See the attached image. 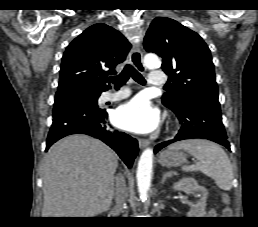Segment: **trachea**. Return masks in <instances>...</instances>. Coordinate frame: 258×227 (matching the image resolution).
Masks as SVG:
<instances>
[{
    "label": "trachea",
    "instance_id": "3493384b",
    "mask_svg": "<svg viewBox=\"0 0 258 227\" xmlns=\"http://www.w3.org/2000/svg\"><path fill=\"white\" fill-rule=\"evenodd\" d=\"M130 76L140 84L146 83L144 77L130 64H127L119 75L110 77L109 81L118 89L128 81Z\"/></svg>",
    "mask_w": 258,
    "mask_h": 227
}]
</instances>
